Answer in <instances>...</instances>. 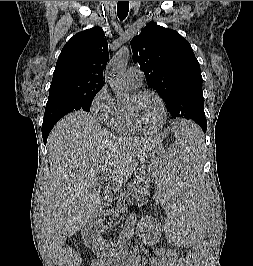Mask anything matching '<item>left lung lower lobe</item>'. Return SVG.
<instances>
[{"label": "left lung lower lobe", "mask_w": 253, "mask_h": 266, "mask_svg": "<svg viewBox=\"0 0 253 266\" xmlns=\"http://www.w3.org/2000/svg\"><path fill=\"white\" fill-rule=\"evenodd\" d=\"M201 128H202V130H203L204 132H206L207 127H205L204 125H201Z\"/></svg>", "instance_id": "left-lung-lower-lobe-1"}]
</instances>
